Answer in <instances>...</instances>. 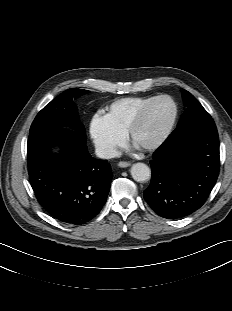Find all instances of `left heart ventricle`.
I'll return each mask as SVG.
<instances>
[{
    "label": "left heart ventricle",
    "instance_id": "b2bd125f",
    "mask_svg": "<svg viewBox=\"0 0 232 311\" xmlns=\"http://www.w3.org/2000/svg\"><path fill=\"white\" fill-rule=\"evenodd\" d=\"M172 112L173 108L170 102L162 100L155 103L135 130L131 140L132 145L142 148L154 141L168 124Z\"/></svg>",
    "mask_w": 232,
    "mask_h": 311
}]
</instances>
